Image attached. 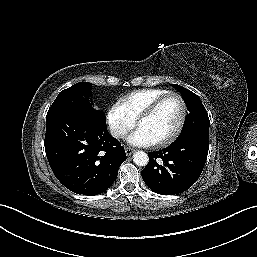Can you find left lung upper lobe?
Here are the masks:
<instances>
[{
    "mask_svg": "<svg viewBox=\"0 0 257 257\" xmlns=\"http://www.w3.org/2000/svg\"><path fill=\"white\" fill-rule=\"evenodd\" d=\"M173 86L180 91L189 111L182 133L177 140L195 135L209 137L210 121L200 98L180 85L173 84Z\"/></svg>",
    "mask_w": 257,
    "mask_h": 257,
    "instance_id": "left-lung-upper-lobe-1",
    "label": "left lung upper lobe"
}]
</instances>
